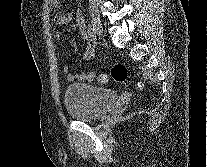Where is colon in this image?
Returning a JSON list of instances; mask_svg holds the SVG:
<instances>
[{"label":"colon","instance_id":"obj_1","mask_svg":"<svg viewBox=\"0 0 207 167\" xmlns=\"http://www.w3.org/2000/svg\"><path fill=\"white\" fill-rule=\"evenodd\" d=\"M86 77L91 82L105 83L111 78L117 83H125L128 79V69L124 64L117 63L110 68L108 73L89 72ZM136 87L142 89L143 83L137 82Z\"/></svg>","mask_w":207,"mask_h":167}]
</instances>
